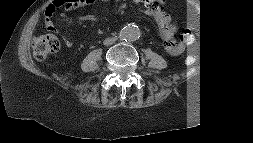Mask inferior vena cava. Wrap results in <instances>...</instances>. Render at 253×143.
Listing matches in <instances>:
<instances>
[{
  "mask_svg": "<svg viewBox=\"0 0 253 143\" xmlns=\"http://www.w3.org/2000/svg\"><path fill=\"white\" fill-rule=\"evenodd\" d=\"M115 41H116V38H107V39L104 40L103 43H104V45L109 46V45L114 44Z\"/></svg>",
  "mask_w": 253,
  "mask_h": 143,
  "instance_id": "obj_1",
  "label": "inferior vena cava"
}]
</instances>
